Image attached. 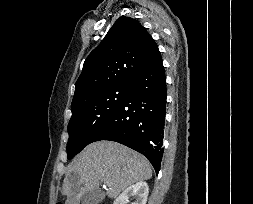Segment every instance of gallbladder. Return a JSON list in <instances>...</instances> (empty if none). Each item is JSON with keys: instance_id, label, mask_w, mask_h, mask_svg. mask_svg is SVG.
I'll return each mask as SVG.
<instances>
[{"instance_id": "gallbladder-1", "label": "gallbladder", "mask_w": 253, "mask_h": 204, "mask_svg": "<svg viewBox=\"0 0 253 204\" xmlns=\"http://www.w3.org/2000/svg\"><path fill=\"white\" fill-rule=\"evenodd\" d=\"M104 198L103 191L96 189L92 192H88L81 198V204H98Z\"/></svg>"}]
</instances>
